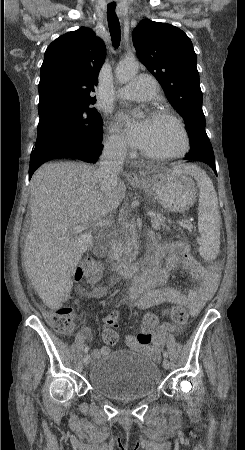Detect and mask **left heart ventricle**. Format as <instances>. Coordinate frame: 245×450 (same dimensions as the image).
Segmentation results:
<instances>
[{"mask_svg":"<svg viewBox=\"0 0 245 450\" xmlns=\"http://www.w3.org/2000/svg\"><path fill=\"white\" fill-rule=\"evenodd\" d=\"M148 130L142 149L156 154H170L183 146L179 129L168 120L148 119Z\"/></svg>","mask_w":245,"mask_h":450,"instance_id":"obj_1","label":"left heart ventricle"}]
</instances>
